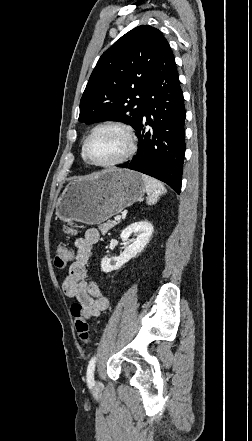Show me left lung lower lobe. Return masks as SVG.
I'll list each match as a JSON object with an SVG mask.
<instances>
[{"label": "left lung lower lobe", "instance_id": "1", "mask_svg": "<svg viewBox=\"0 0 252 441\" xmlns=\"http://www.w3.org/2000/svg\"><path fill=\"white\" fill-rule=\"evenodd\" d=\"M186 110L174 55L166 41L159 54L146 93L145 108L136 130L139 150L130 161L119 165L142 172L181 190L185 153ZM150 125L151 130L145 126Z\"/></svg>", "mask_w": 252, "mask_h": 441}]
</instances>
